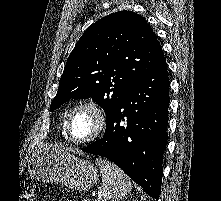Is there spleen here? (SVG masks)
I'll return each mask as SVG.
<instances>
[{"label":"spleen","mask_w":221,"mask_h":201,"mask_svg":"<svg viewBox=\"0 0 221 201\" xmlns=\"http://www.w3.org/2000/svg\"><path fill=\"white\" fill-rule=\"evenodd\" d=\"M95 163L102 173L101 201H121L131 190L132 184L126 174L109 160L97 158Z\"/></svg>","instance_id":"1"}]
</instances>
